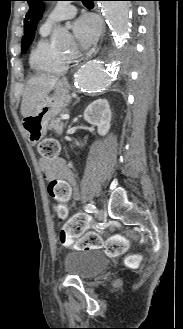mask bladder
<instances>
[{
  "mask_svg": "<svg viewBox=\"0 0 183 329\" xmlns=\"http://www.w3.org/2000/svg\"><path fill=\"white\" fill-rule=\"evenodd\" d=\"M108 260L95 249L73 250L64 257V270L67 274L87 280L102 272Z\"/></svg>",
  "mask_w": 183,
  "mask_h": 329,
  "instance_id": "31cf9c89",
  "label": "bladder"
}]
</instances>
